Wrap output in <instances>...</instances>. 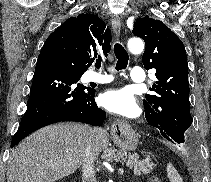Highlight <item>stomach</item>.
Segmentation results:
<instances>
[{"instance_id": "0dacf381", "label": "stomach", "mask_w": 211, "mask_h": 182, "mask_svg": "<svg viewBox=\"0 0 211 182\" xmlns=\"http://www.w3.org/2000/svg\"><path fill=\"white\" fill-rule=\"evenodd\" d=\"M114 143L123 150L133 151L137 148L138 137L130 129H118L112 131Z\"/></svg>"}]
</instances>
